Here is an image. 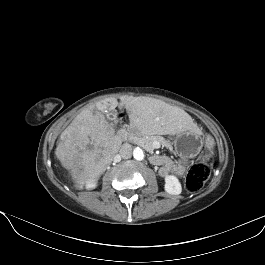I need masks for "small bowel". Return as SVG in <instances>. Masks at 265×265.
I'll return each instance as SVG.
<instances>
[{
    "mask_svg": "<svg viewBox=\"0 0 265 265\" xmlns=\"http://www.w3.org/2000/svg\"><path fill=\"white\" fill-rule=\"evenodd\" d=\"M159 161V174L161 176H166L169 173H174L177 176L183 175L185 171L186 161L179 160L173 161L166 156H157Z\"/></svg>",
    "mask_w": 265,
    "mask_h": 265,
    "instance_id": "small-bowel-1",
    "label": "small bowel"
}]
</instances>
